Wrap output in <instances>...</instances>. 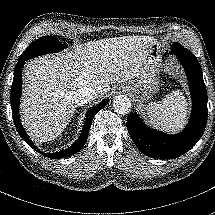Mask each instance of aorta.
Masks as SVG:
<instances>
[{
    "instance_id": "obj_1",
    "label": "aorta",
    "mask_w": 215,
    "mask_h": 215,
    "mask_svg": "<svg viewBox=\"0 0 215 215\" xmlns=\"http://www.w3.org/2000/svg\"><path fill=\"white\" fill-rule=\"evenodd\" d=\"M113 108H114L115 112H117L118 114L127 115L131 112L132 103L125 96H117L114 98Z\"/></svg>"
}]
</instances>
